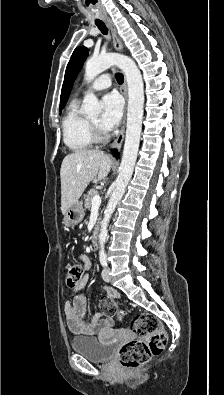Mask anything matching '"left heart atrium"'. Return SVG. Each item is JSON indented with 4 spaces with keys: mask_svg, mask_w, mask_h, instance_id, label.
Masks as SVG:
<instances>
[{
    "mask_svg": "<svg viewBox=\"0 0 224 395\" xmlns=\"http://www.w3.org/2000/svg\"><path fill=\"white\" fill-rule=\"evenodd\" d=\"M103 113L100 126L104 130H112L120 121L123 113V101L116 92L106 94L103 99Z\"/></svg>",
    "mask_w": 224,
    "mask_h": 395,
    "instance_id": "1",
    "label": "left heart atrium"
}]
</instances>
